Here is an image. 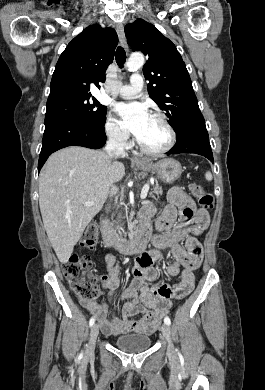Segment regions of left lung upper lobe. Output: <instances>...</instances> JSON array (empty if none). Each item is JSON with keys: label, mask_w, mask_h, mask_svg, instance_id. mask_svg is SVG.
<instances>
[{"label": "left lung upper lobe", "mask_w": 265, "mask_h": 390, "mask_svg": "<svg viewBox=\"0 0 265 390\" xmlns=\"http://www.w3.org/2000/svg\"><path fill=\"white\" fill-rule=\"evenodd\" d=\"M124 30L132 50L148 56L143 73L149 81V96L165 111L176 137L181 136L201 112L180 53L155 26L143 19L126 25Z\"/></svg>", "instance_id": "1"}]
</instances>
